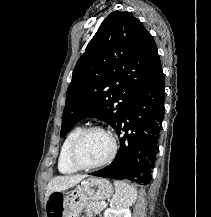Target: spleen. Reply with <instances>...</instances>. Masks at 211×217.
<instances>
[{
    "mask_svg": "<svg viewBox=\"0 0 211 217\" xmlns=\"http://www.w3.org/2000/svg\"><path fill=\"white\" fill-rule=\"evenodd\" d=\"M115 195L110 206L114 209H123L131 206L137 199V191L131 185L123 181H114Z\"/></svg>",
    "mask_w": 211,
    "mask_h": 217,
    "instance_id": "1",
    "label": "spleen"
}]
</instances>
